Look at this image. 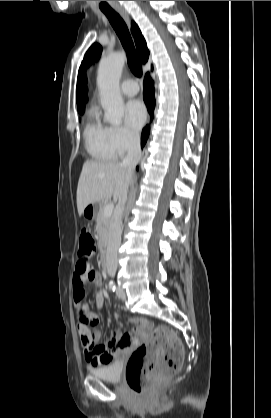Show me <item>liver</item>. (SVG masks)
<instances>
[{
	"label": "liver",
	"mask_w": 271,
	"mask_h": 418,
	"mask_svg": "<svg viewBox=\"0 0 271 418\" xmlns=\"http://www.w3.org/2000/svg\"><path fill=\"white\" fill-rule=\"evenodd\" d=\"M132 176L118 161L87 160L79 177L77 187V209L81 216L85 207L113 197L119 199L128 188Z\"/></svg>",
	"instance_id": "1"
}]
</instances>
